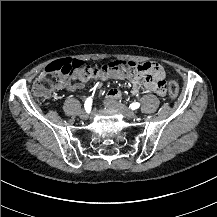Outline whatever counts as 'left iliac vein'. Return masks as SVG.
<instances>
[{
  "instance_id": "obj_1",
  "label": "left iliac vein",
  "mask_w": 217,
  "mask_h": 217,
  "mask_svg": "<svg viewBox=\"0 0 217 217\" xmlns=\"http://www.w3.org/2000/svg\"><path fill=\"white\" fill-rule=\"evenodd\" d=\"M104 105L114 111L121 113L125 118H135L136 112L130 110L126 106L112 100H105Z\"/></svg>"
}]
</instances>
